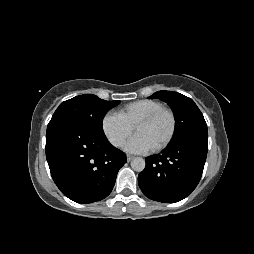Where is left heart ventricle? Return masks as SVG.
<instances>
[{"label":"left heart ventricle","mask_w":254,"mask_h":254,"mask_svg":"<svg viewBox=\"0 0 254 254\" xmlns=\"http://www.w3.org/2000/svg\"><path fill=\"white\" fill-rule=\"evenodd\" d=\"M171 129V120L167 114H161L152 122L138 126L136 134L143 135L155 147L165 140Z\"/></svg>","instance_id":"left-heart-ventricle-1"}]
</instances>
